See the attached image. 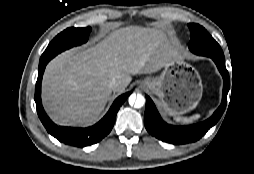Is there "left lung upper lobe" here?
Here are the masks:
<instances>
[{"label": "left lung upper lobe", "instance_id": "5c2ea615", "mask_svg": "<svg viewBox=\"0 0 254 174\" xmlns=\"http://www.w3.org/2000/svg\"><path fill=\"white\" fill-rule=\"evenodd\" d=\"M188 27L191 33V40L189 42L191 52L208 57L215 56L224 58L221 47L204 27L195 23L188 24Z\"/></svg>", "mask_w": 254, "mask_h": 174}]
</instances>
